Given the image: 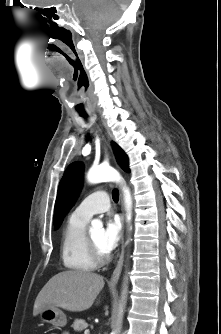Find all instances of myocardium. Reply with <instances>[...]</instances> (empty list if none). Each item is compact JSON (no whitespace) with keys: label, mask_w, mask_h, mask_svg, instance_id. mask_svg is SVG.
<instances>
[{"label":"myocardium","mask_w":221,"mask_h":334,"mask_svg":"<svg viewBox=\"0 0 221 334\" xmlns=\"http://www.w3.org/2000/svg\"><path fill=\"white\" fill-rule=\"evenodd\" d=\"M87 246L93 260L100 265L106 264L110 260V254L108 252L101 251L95 242L92 240L90 234H86Z\"/></svg>","instance_id":"1"}]
</instances>
